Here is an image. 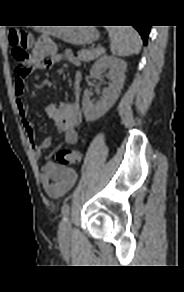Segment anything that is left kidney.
Listing matches in <instances>:
<instances>
[{"label":"left kidney","instance_id":"obj_1","mask_svg":"<svg viewBox=\"0 0 184 292\" xmlns=\"http://www.w3.org/2000/svg\"><path fill=\"white\" fill-rule=\"evenodd\" d=\"M127 64L124 60L111 56H102L92 66L90 75L92 78L100 76L109 69L107 78L110 80L109 87L103 90L100 101L92 103V92L84 91L82 108L87 121L92 122L102 117L116 102L123 87Z\"/></svg>","mask_w":184,"mask_h":292}]
</instances>
